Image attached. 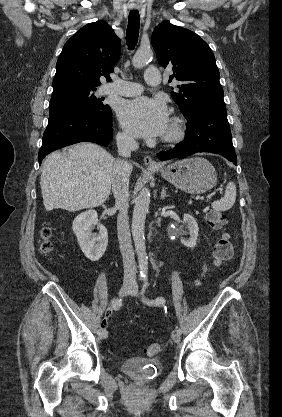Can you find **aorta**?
Here are the masks:
<instances>
[{
    "instance_id": "1",
    "label": "aorta",
    "mask_w": 282,
    "mask_h": 417,
    "mask_svg": "<svg viewBox=\"0 0 282 417\" xmlns=\"http://www.w3.org/2000/svg\"><path fill=\"white\" fill-rule=\"evenodd\" d=\"M153 52L151 48H138L133 58L132 64L135 68H142L151 60ZM150 190L141 188L136 200L132 217V237L135 245V251L138 259L139 277L147 279L148 277V257L145 245V221L149 211Z\"/></svg>"
}]
</instances>
